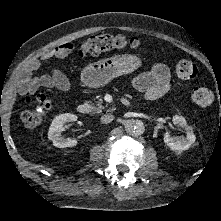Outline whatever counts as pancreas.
Here are the masks:
<instances>
[{
	"instance_id": "cf45deb5",
	"label": "pancreas",
	"mask_w": 221,
	"mask_h": 221,
	"mask_svg": "<svg viewBox=\"0 0 221 221\" xmlns=\"http://www.w3.org/2000/svg\"><path fill=\"white\" fill-rule=\"evenodd\" d=\"M105 109H106V108L102 105V101L99 100V101L97 102V106H92V107H91V112H92L93 114H100V113H102L103 110H105ZM107 111L109 112L110 109H107Z\"/></svg>"
}]
</instances>
